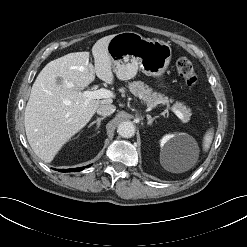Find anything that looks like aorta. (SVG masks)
Returning <instances> with one entry per match:
<instances>
[{"mask_svg": "<svg viewBox=\"0 0 247 247\" xmlns=\"http://www.w3.org/2000/svg\"><path fill=\"white\" fill-rule=\"evenodd\" d=\"M117 133L123 138H131L135 134V126L130 121L121 122L118 125Z\"/></svg>", "mask_w": 247, "mask_h": 247, "instance_id": "aorta-1", "label": "aorta"}]
</instances>
